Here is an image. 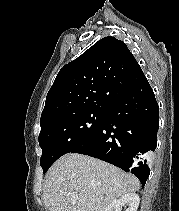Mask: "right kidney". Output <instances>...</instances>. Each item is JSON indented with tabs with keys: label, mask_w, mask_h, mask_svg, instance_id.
<instances>
[{
	"label": "right kidney",
	"mask_w": 179,
	"mask_h": 211,
	"mask_svg": "<svg viewBox=\"0 0 179 211\" xmlns=\"http://www.w3.org/2000/svg\"><path fill=\"white\" fill-rule=\"evenodd\" d=\"M140 198L136 193H128L119 199L112 201L104 211H121L124 206H128L126 211H137Z\"/></svg>",
	"instance_id": "right-kidney-1"
}]
</instances>
